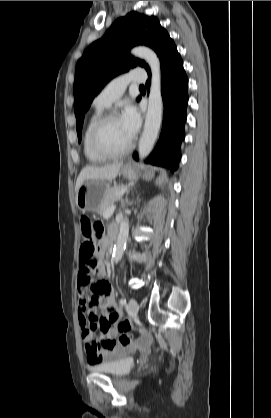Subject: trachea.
<instances>
[{
    "mask_svg": "<svg viewBox=\"0 0 271 418\" xmlns=\"http://www.w3.org/2000/svg\"><path fill=\"white\" fill-rule=\"evenodd\" d=\"M140 88H144V86H143V85H141V86H140Z\"/></svg>",
    "mask_w": 271,
    "mask_h": 418,
    "instance_id": "obj_1",
    "label": "trachea"
}]
</instances>
